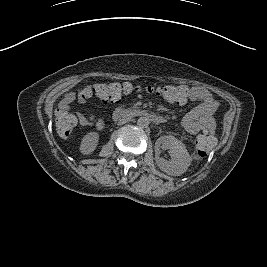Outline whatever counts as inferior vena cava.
I'll return each instance as SVG.
<instances>
[{
  "instance_id": "602c4592",
  "label": "inferior vena cava",
  "mask_w": 267,
  "mask_h": 267,
  "mask_svg": "<svg viewBox=\"0 0 267 267\" xmlns=\"http://www.w3.org/2000/svg\"><path fill=\"white\" fill-rule=\"evenodd\" d=\"M129 121H130L129 118L122 119V120H120V121L118 122V125H123L124 123H127V122H129Z\"/></svg>"
}]
</instances>
